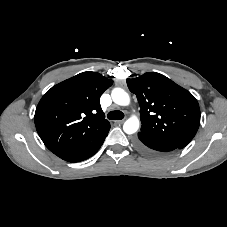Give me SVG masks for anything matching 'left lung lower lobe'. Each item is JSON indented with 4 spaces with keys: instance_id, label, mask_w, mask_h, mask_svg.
<instances>
[{
    "instance_id": "0a47b994",
    "label": "left lung lower lobe",
    "mask_w": 227,
    "mask_h": 227,
    "mask_svg": "<svg viewBox=\"0 0 227 227\" xmlns=\"http://www.w3.org/2000/svg\"><path fill=\"white\" fill-rule=\"evenodd\" d=\"M135 145L141 152L151 157H163L178 149L173 144L144 137L140 134H138Z\"/></svg>"
}]
</instances>
